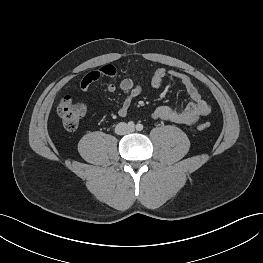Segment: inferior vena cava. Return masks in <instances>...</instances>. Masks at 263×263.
<instances>
[{
	"label": "inferior vena cava",
	"mask_w": 263,
	"mask_h": 263,
	"mask_svg": "<svg viewBox=\"0 0 263 263\" xmlns=\"http://www.w3.org/2000/svg\"><path fill=\"white\" fill-rule=\"evenodd\" d=\"M115 132L118 135H124V134L131 132V129L128 127V125L126 123L120 122L116 125Z\"/></svg>",
	"instance_id": "602c4592"
}]
</instances>
